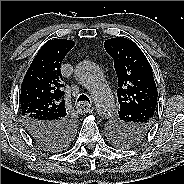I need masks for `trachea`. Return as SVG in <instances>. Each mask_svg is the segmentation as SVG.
Here are the masks:
<instances>
[{"instance_id": "trachea-1", "label": "trachea", "mask_w": 184, "mask_h": 184, "mask_svg": "<svg viewBox=\"0 0 184 184\" xmlns=\"http://www.w3.org/2000/svg\"><path fill=\"white\" fill-rule=\"evenodd\" d=\"M77 102H88V103H90V100L86 95L82 94V95L79 96Z\"/></svg>"}]
</instances>
